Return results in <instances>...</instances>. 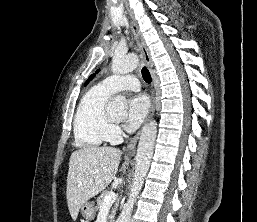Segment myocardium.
I'll return each mask as SVG.
<instances>
[{"label":"myocardium","mask_w":257,"mask_h":222,"mask_svg":"<svg viewBox=\"0 0 257 222\" xmlns=\"http://www.w3.org/2000/svg\"><path fill=\"white\" fill-rule=\"evenodd\" d=\"M108 120H109V122L110 123H112L113 121H112V119L108 116Z\"/></svg>","instance_id":"myocardium-1"}]
</instances>
